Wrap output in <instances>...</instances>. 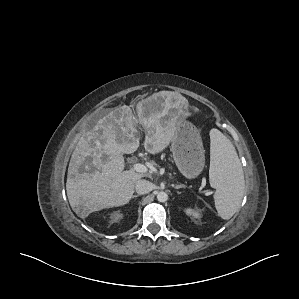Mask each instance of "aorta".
<instances>
[{"label": "aorta", "mask_w": 299, "mask_h": 299, "mask_svg": "<svg viewBox=\"0 0 299 299\" xmlns=\"http://www.w3.org/2000/svg\"><path fill=\"white\" fill-rule=\"evenodd\" d=\"M157 200L159 201V202H166L167 200H168V195H167V193L166 192H164V191H160V192H158L157 193Z\"/></svg>", "instance_id": "1"}]
</instances>
